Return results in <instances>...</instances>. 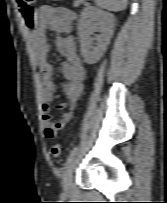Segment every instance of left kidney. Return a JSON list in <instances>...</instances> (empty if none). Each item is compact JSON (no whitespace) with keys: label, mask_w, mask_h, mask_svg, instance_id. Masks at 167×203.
<instances>
[{"label":"left kidney","mask_w":167,"mask_h":203,"mask_svg":"<svg viewBox=\"0 0 167 203\" xmlns=\"http://www.w3.org/2000/svg\"><path fill=\"white\" fill-rule=\"evenodd\" d=\"M115 17L95 7H87L81 15L78 24V35L80 38L81 55L87 64H95L105 52L113 35ZM95 31L101 34L96 38L97 46L91 47L94 38L91 35Z\"/></svg>","instance_id":"1"}]
</instances>
